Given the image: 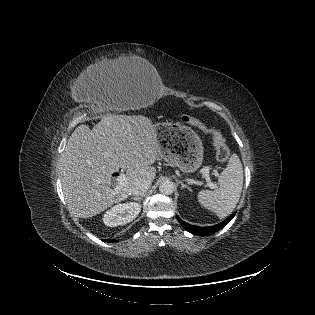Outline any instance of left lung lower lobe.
<instances>
[{"mask_svg": "<svg viewBox=\"0 0 315 315\" xmlns=\"http://www.w3.org/2000/svg\"><path fill=\"white\" fill-rule=\"evenodd\" d=\"M235 213H233L230 217H228L223 222L216 224L214 226H209V227H199V226H194V225L188 224V223L182 221L178 216H177V219L180 222V224L182 225V227L185 230H187L188 232L195 234V235H199V236H208V235H211V234L217 232L222 227H224L234 217Z\"/></svg>", "mask_w": 315, "mask_h": 315, "instance_id": "left-lung-lower-lobe-1", "label": "left lung lower lobe"}]
</instances>
